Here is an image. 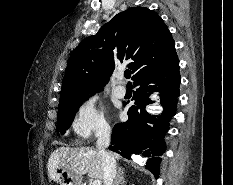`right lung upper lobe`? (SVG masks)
Returning a JSON list of instances; mask_svg holds the SVG:
<instances>
[{"label":"right lung upper lobe","mask_w":233,"mask_h":185,"mask_svg":"<svg viewBox=\"0 0 233 185\" xmlns=\"http://www.w3.org/2000/svg\"><path fill=\"white\" fill-rule=\"evenodd\" d=\"M176 58L174 40L161 17L147 8H129L114 16L96 35L85 38L72 52L59 105L85 99L93 89V93L100 91L121 63H128L134 80Z\"/></svg>","instance_id":"obj_1"}]
</instances>
